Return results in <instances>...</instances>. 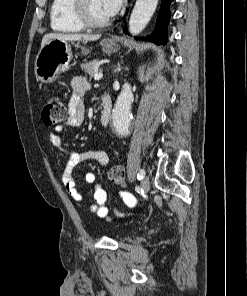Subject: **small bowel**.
I'll use <instances>...</instances> for the list:
<instances>
[{"instance_id": "obj_1", "label": "small bowel", "mask_w": 247, "mask_h": 296, "mask_svg": "<svg viewBox=\"0 0 247 296\" xmlns=\"http://www.w3.org/2000/svg\"><path fill=\"white\" fill-rule=\"evenodd\" d=\"M72 95L68 104V117L63 124L55 127L50 132L51 143L61 152L68 156V160L62 170V182L66 191L77 202H84L83 195L78 191L76 180L72 175L73 169L80 163L87 160H96L102 165L108 163L107 156L96 150L72 151L63 146L60 132L64 128L76 129L79 128L84 120L85 107L83 103V96L89 89V84L81 77H75L71 81ZM85 182L94 185L93 204L90 205V210L101 219L109 218V209L106 207L107 193L101 185L97 183L96 175L94 173H87L85 175ZM119 197L129 207L136 205V199L128 192L120 191Z\"/></svg>"}]
</instances>
